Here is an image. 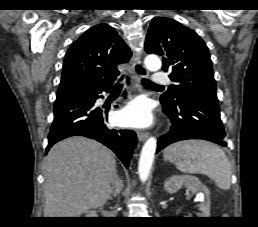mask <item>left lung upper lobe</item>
Instances as JSON below:
<instances>
[{"label": "left lung upper lobe", "mask_w": 258, "mask_h": 227, "mask_svg": "<svg viewBox=\"0 0 258 227\" xmlns=\"http://www.w3.org/2000/svg\"><path fill=\"white\" fill-rule=\"evenodd\" d=\"M145 50L163 56L165 72L175 82L161 101L176 103L180 98L200 92L216 95L212 62L208 48L197 33L179 22L153 18L146 37Z\"/></svg>", "instance_id": "left-lung-upper-lobe-1"}]
</instances>
